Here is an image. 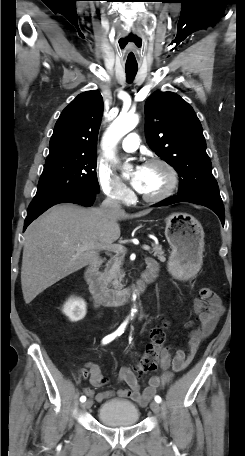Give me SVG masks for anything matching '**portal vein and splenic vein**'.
<instances>
[{
    "mask_svg": "<svg viewBox=\"0 0 245 456\" xmlns=\"http://www.w3.org/2000/svg\"><path fill=\"white\" fill-rule=\"evenodd\" d=\"M94 246L100 247L101 249L114 251V252H119V251L124 252L125 251V247L122 246V245H112V244L111 245H103V246L102 245H98V244L92 245V247H94ZM142 248L144 250H146V251L150 250V246H148V245H143Z\"/></svg>",
    "mask_w": 245,
    "mask_h": 456,
    "instance_id": "portal-vein-and-splenic-vein-1",
    "label": "portal vein and splenic vein"
}]
</instances>
